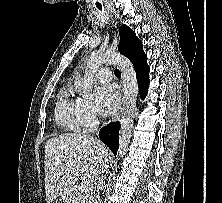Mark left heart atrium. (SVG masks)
<instances>
[{"mask_svg":"<svg viewBox=\"0 0 222 203\" xmlns=\"http://www.w3.org/2000/svg\"><path fill=\"white\" fill-rule=\"evenodd\" d=\"M120 102V92L114 85H105L95 91L97 109L106 115L113 114Z\"/></svg>","mask_w":222,"mask_h":203,"instance_id":"left-heart-atrium-1","label":"left heart atrium"}]
</instances>
